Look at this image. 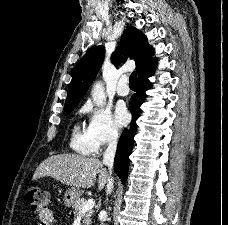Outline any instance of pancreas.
<instances>
[{
  "label": "pancreas",
  "instance_id": "obj_1",
  "mask_svg": "<svg viewBox=\"0 0 228 225\" xmlns=\"http://www.w3.org/2000/svg\"><path fill=\"white\" fill-rule=\"evenodd\" d=\"M83 203H85V199H77L73 205V213L75 217H80V211L83 207ZM93 215L92 209L90 211H87L83 217V223L84 225H91V217Z\"/></svg>",
  "mask_w": 228,
  "mask_h": 225
}]
</instances>
